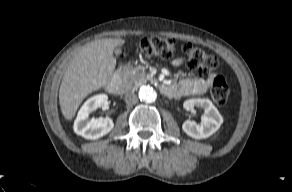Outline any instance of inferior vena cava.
Returning a JSON list of instances; mask_svg holds the SVG:
<instances>
[{
    "label": "inferior vena cava",
    "instance_id": "obj_1",
    "mask_svg": "<svg viewBox=\"0 0 292 192\" xmlns=\"http://www.w3.org/2000/svg\"><path fill=\"white\" fill-rule=\"evenodd\" d=\"M125 102L128 105H133L138 102V96L134 92H127L125 94Z\"/></svg>",
    "mask_w": 292,
    "mask_h": 192
}]
</instances>
